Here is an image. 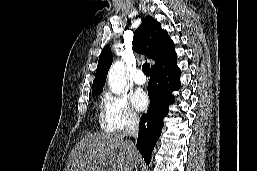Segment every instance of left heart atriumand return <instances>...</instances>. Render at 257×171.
<instances>
[{"instance_id":"obj_1","label":"left heart atrium","mask_w":257,"mask_h":171,"mask_svg":"<svg viewBox=\"0 0 257 171\" xmlns=\"http://www.w3.org/2000/svg\"><path fill=\"white\" fill-rule=\"evenodd\" d=\"M131 100L133 106L139 111L146 109L149 104L148 96L143 91L135 92L132 95Z\"/></svg>"}]
</instances>
